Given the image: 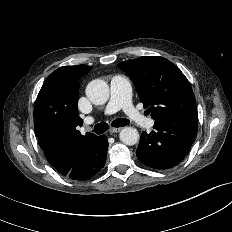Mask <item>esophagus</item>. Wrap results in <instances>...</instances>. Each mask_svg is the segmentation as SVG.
Masks as SVG:
<instances>
[{
	"label": "esophagus",
	"mask_w": 232,
	"mask_h": 232,
	"mask_svg": "<svg viewBox=\"0 0 232 232\" xmlns=\"http://www.w3.org/2000/svg\"><path fill=\"white\" fill-rule=\"evenodd\" d=\"M121 130H122L121 127H116V128H111V129L109 130V132H110V134H114V133L120 132Z\"/></svg>",
	"instance_id": "1"
}]
</instances>
